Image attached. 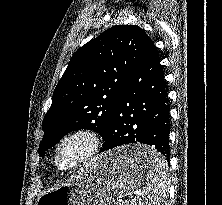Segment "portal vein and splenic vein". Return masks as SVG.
<instances>
[{
  "label": "portal vein and splenic vein",
  "mask_w": 222,
  "mask_h": 205,
  "mask_svg": "<svg viewBox=\"0 0 222 205\" xmlns=\"http://www.w3.org/2000/svg\"><path fill=\"white\" fill-rule=\"evenodd\" d=\"M144 192L145 191L143 189H138L134 192V196H132V197H135V198L139 197V196L143 195Z\"/></svg>",
  "instance_id": "portal-vein-and-splenic-vein-1"
}]
</instances>
